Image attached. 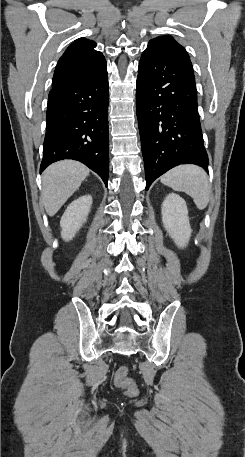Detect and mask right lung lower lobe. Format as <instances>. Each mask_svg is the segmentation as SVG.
<instances>
[{
  "label": "right lung lower lobe",
  "mask_w": 245,
  "mask_h": 457,
  "mask_svg": "<svg viewBox=\"0 0 245 457\" xmlns=\"http://www.w3.org/2000/svg\"><path fill=\"white\" fill-rule=\"evenodd\" d=\"M108 105L107 67L52 87L40 172L53 162L74 159L95 171L107 186Z\"/></svg>",
  "instance_id": "1"
}]
</instances>
